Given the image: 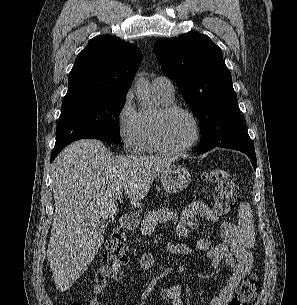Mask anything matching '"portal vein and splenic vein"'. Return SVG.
<instances>
[{
    "label": "portal vein and splenic vein",
    "instance_id": "obj_1",
    "mask_svg": "<svg viewBox=\"0 0 297 305\" xmlns=\"http://www.w3.org/2000/svg\"><path fill=\"white\" fill-rule=\"evenodd\" d=\"M121 198H122V194H121V193H116V194L114 195V200H115V201L121 200Z\"/></svg>",
    "mask_w": 297,
    "mask_h": 305
}]
</instances>
